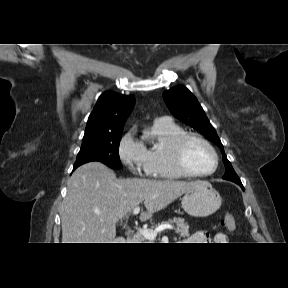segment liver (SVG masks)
Masks as SVG:
<instances>
[{"instance_id": "1", "label": "liver", "mask_w": 288, "mask_h": 288, "mask_svg": "<svg viewBox=\"0 0 288 288\" xmlns=\"http://www.w3.org/2000/svg\"><path fill=\"white\" fill-rule=\"evenodd\" d=\"M196 182L117 179L100 162L77 168L67 183L61 213L62 243H113L116 223L144 202L140 221L167 207Z\"/></svg>"}]
</instances>
